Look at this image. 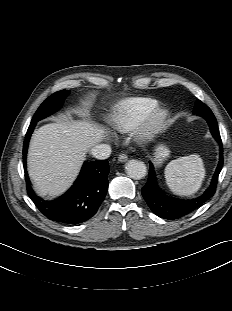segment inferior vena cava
I'll return each mask as SVG.
<instances>
[{"label":"inferior vena cava","instance_id":"1","mask_svg":"<svg viewBox=\"0 0 232 311\" xmlns=\"http://www.w3.org/2000/svg\"><path fill=\"white\" fill-rule=\"evenodd\" d=\"M91 154L96 159H107L111 154V147L108 144H99L91 149Z\"/></svg>","mask_w":232,"mask_h":311}]
</instances>
